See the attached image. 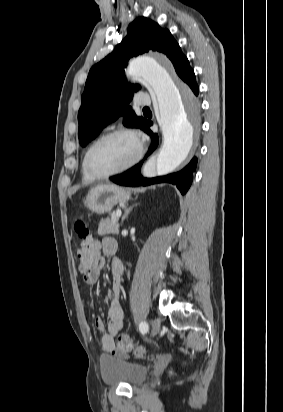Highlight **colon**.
Wrapping results in <instances>:
<instances>
[{
  "label": "colon",
  "mask_w": 283,
  "mask_h": 412,
  "mask_svg": "<svg viewBox=\"0 0 283 412\" xmlns=\"http://www.w3.org/2000/svg\"><path fill=\"white\" fill-rule=\"evenodd\" d=\"M74 229L81 240L80 248L78 249L80 268L82 270H85L91 265V263L96 259L98 255V243L86 226L83 219L79 218L75 221ZM116 345L118 351L123 354L133 352L137 355H141L145 351L127 335L118 336V338L116 339Z\"/></svg>",
  "instance_id": "colon-1"
}]
</instances>
